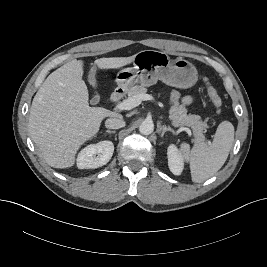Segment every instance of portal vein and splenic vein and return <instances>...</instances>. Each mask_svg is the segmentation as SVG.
<instances>
[{
  "instance_id": "18ae733b",
  "label": "portal vein and splenic vein",
  "mask_w": 267,
  "mask_h": 267,
  "mask_svg": "<svg viewBox=\"0 0 267 267\" xmlns=\"http://www.w3.org/2000/svg\"><path fill=\"white\" fill-rule=\"evenodd\" d=\"M149 94H139L117 103L115 108L118 110H131L141 104L142 101L153 100Z\"/></svg>"
}]
</instances>
